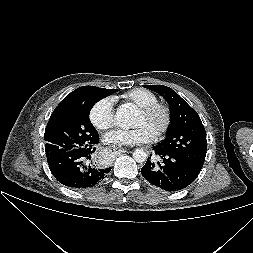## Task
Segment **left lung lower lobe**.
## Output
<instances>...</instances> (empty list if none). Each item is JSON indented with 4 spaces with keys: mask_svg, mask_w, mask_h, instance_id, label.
I'll return each mask as SVG.
<instances>
[{
    "mask_svg": "<svg viewBox=\"0 0 253 253\" xmlns=\"http://www.w3.org/2000/svg\"><path fill=\"white\" fill-rule=\"evenodd\" d=\"M160 162L151 161V156L141 168L142 176L152 185L172 192L186 188L198 176L200 170L179 157L153 147Z\"/></svg>",
    "mask_w": 253,
    "mask_h": 253,
    "instance_id": "0a47b994",
    "label": "left lung lower lobe"
}]
</instances>
